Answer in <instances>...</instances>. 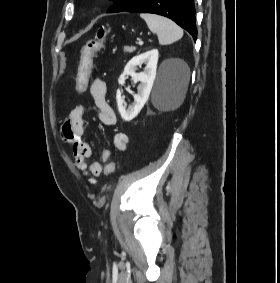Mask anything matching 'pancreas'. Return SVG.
<instances>
[{
  "label": "pancreas",
  "mask_w": 280,
  "mask_h": 283,
  "mask_svg": "<svg viewBox=\"0 0 280 283\" xmlns=\"http://www.w3.org/2000/svg\"><path fill=\"white\" fill-rule=\"evenodd\" d=\"M136 50V48L135 47H133V46H126V47H124V52L127 54V53H132V52H134Z\"/></svg>",
  "instance_id": "pancreas-1"
}]
</instances>
